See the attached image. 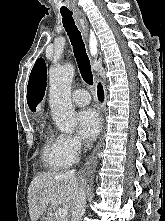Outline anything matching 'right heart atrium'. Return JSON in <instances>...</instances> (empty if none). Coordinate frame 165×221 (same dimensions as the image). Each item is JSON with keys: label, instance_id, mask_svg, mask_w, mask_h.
Wrapping results in <instances>:
<instances>
[{"label": "right heart atrium", "instance_id": "d8ad5b80", "mask_svg": "<svg viewBox=\"0 0 165 221\" xmlns=\"http://www.w3.org/2000/svg\"><path fill=\"white\" fill-rule=\"evenodd\" d=\"M61 151L73 160H76L84 147L83 140L77 135H60Z\"/></svg>", "mask_w": 165, "mask_h": 221}]
</instances>
